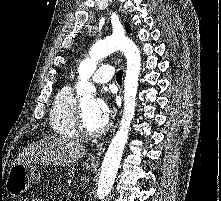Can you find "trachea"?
I'll use <instances>...</instances> for the list:
<instances>
[{"instance_id": "obj_1", "label": "trachea", "mask_w": 221, "mask_h": 201, "mask_svg": "<svg viewBox=\"0 0 221 201\" xmlns=\"http://www.w3.org/2000/svg\"><path fill=\"white\" fill-rule=\"evenodd\" d=\"M122 76H123V71L119 70L116 74V80L118 83H122Z\"/></svg>"}]
</instances>
